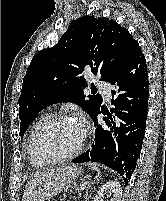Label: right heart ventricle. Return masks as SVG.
Here are the masks:
<instances>
[{"instance_id":"e07e8e85","label":"right heart ventricle","mask_w":166,"mask_h":201,"mask_svg":"<svg viewBox=\"0 0 166 201\" xmlns=\"http://www.w3.org/2000/svg\"><path fill=\"white\" fill-rule=\"evenodd\" d=\"M47 117H49L48 114H42L38 120L35 122V124L33 125V128L31 130V133H30V138H29V142H28V153H29V150H30V143H31V138H32V135L36 129V127L39 125V123H41L44 119H46ZM32 163V162H31Z\"/></svg>"}]
</instances>
